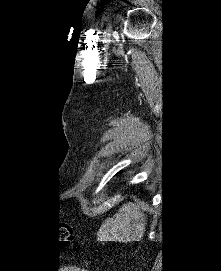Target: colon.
I'll return each instance as SVG.
<instances>
[{"label": "colon", "instance_id": "1", "mask_svg": "<svg viewBox=\"0 0 221 271\" xmlns=\"http://www.w3.org/2000/svg\"><path fill=\"white\" fill-rule=\"evenodd\" d=\"M73 239V230L70 226H62L58 232V242L69 244Z\"/></svg>", "mask_w": 221, "mask_h": 271}]
</instances>
